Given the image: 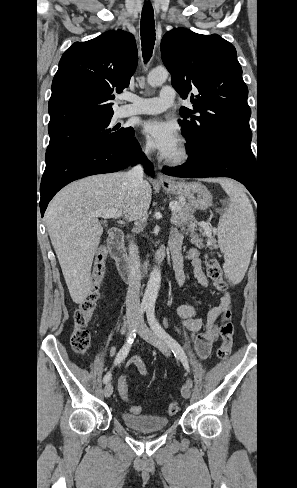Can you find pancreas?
<instances>
[{
  "label": "pancreas",
  "mask_w": 297,
  "mask_h": 488,
  "mask_svg": "<svg viewBox=\"0 0 297 488\" xmlns=\"http://www.w3.org/2000/svg\"><path fill=\"white\" fill-rule=\"evenodd\" d=\"M171 203H174L178 206L177 210L172 211V217H171L172 223L176 226L189 224L188 231L191 232L192 242L196 244H200L201 239H199L194 232V226L198 224V222L193 217L194 209L190 205L184 206L182 202L173 201Z\"/></svg>",
  "instance_id": "cf45deb5"
}]
</instances>
